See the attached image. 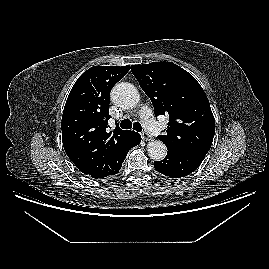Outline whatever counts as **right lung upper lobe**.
<instances>
[{
  "mask_svg": "<svg viewBox=\"0 0 269 269\" xmlns=\"http://www.w3.org/2000/svg\"><path fill=\"white\" fill-rule=\"evenodd\" d=\"M130 66H93L72 87L62 116V141L67 156L84 174L105 178L122 163V145L128 131L107 132L110 91Z\"/></svg>",
  "mask_w": 269,
  "mask_h": 269,
  "instance_id": "cb5924a9",
  "label": "right lung upper lobe"
}]
</instances>
